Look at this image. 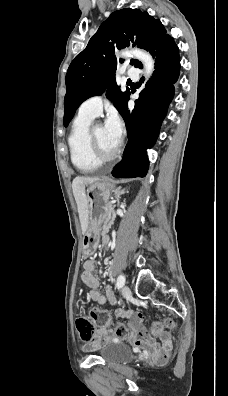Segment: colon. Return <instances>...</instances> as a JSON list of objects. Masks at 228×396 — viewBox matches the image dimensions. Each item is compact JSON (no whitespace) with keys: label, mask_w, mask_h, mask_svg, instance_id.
<instances>
[{"label":"colon","mask_w":228,"mask_h":396,"mask_svg":"<svg viewBox=\"0 0 228 396\" xmlns=\"http://www.w3.org/2000/svg\"><path fill=\"white\" fill-rule=\"evenodd\" d=\"M96 326L113 329L119 338H125L128 335L126 326L121 323L113 324L109 313L101 308H93L90 312L89 319L85 317H79L76 320V328L81 339L85 341H90L93 339ZM164 326L174 329L175 323L171 319H166L163 323L160 321H154L150 325L151 333L154 335H159L162 333Z\"/></svg>","instance_id":"obj_1"}]
</instances>
